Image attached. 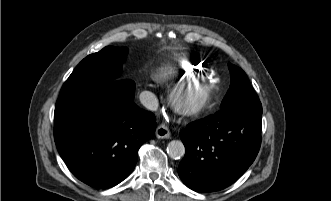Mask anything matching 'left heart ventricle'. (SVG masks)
Listing matches in <instances>:
<instances>
[{
	"mask_svg": "<svg viewBox=\"0 0 331 201\" xmlns=\"http://www.w3.org/2000/svg\"><path fill=\"white\" fill-rule=\"evenodd\" d=\"M202 88L199 86L187 87L182 89L178 95V100L183 104H189L197 100L202 94Z\"/></svg>",
	"mask_w": 331,
	"mask_h": 201,
	"instance_id": "obj_1",
	"label": "left heart ventricle"
}]
</instances>
